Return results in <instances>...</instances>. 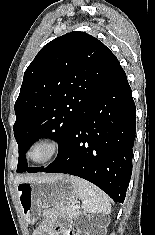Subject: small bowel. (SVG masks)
Returning <instances> with one entry per match:
<instances>
[{"instance_id": "c3829d8e", "label": "small bowel", "mask_w": 155, "mask_h": 235, "mask_svg": "<svg viewBox=\"0 0 155 235\" xmlns=\"http://www.w3.org/2000/svg\"><path fill=\"white\" fill-rule=\"evenodd\" d=\"M47 218L49 220V222L54 221L57 217L55 215V213L53 211H48L47 212Z\"/></svg>"}]
</instances>
